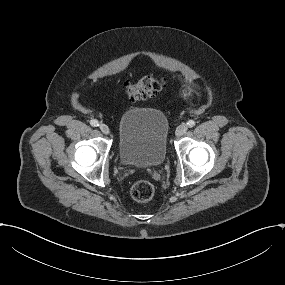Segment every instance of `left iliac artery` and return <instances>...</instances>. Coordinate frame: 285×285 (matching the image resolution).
I'll use <instances>...</instances> for the list:
<instances>
[{"instance_id":"44dca946","label":"left iliac artery","mask_w":285,"mask_h":285,"mask_svg":"<svg viewBox=\"0 0 285 285\" xmlns=\"http://www.w3.org/2000/svg\"><path fill=\"white\" fill-rule=\"evenodd\" d=\"M187 126L190 127V128L194 127V126H195V121L189 120V121L187 122Z\"/></svg>"}]
</instances>
